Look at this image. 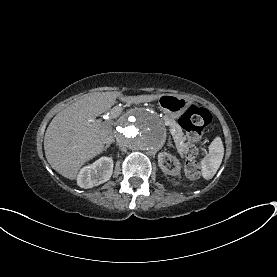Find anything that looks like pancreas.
Segmentation results:
<instances>
[{
	"label": "pancreas",
	"instance_id": "obj_1",
	"mask_svg": "<svg viewBox=\"0 0 277 277\" xmlns=\"http://www.w3.org/2000/svg\"><path fill=\"white\" fill-rule=\"evenodd\" d=\"M171 132H172L173 137L175 138V141H174L175 148H177V149L184 148V146H185L184 139H182V138H177L176 139V137H180L183 134V127H182V125H180V124H174V125H172Z\"/></svg>",
	"mask_w": 277,
	"mask_h": 277
}]
</instances>
